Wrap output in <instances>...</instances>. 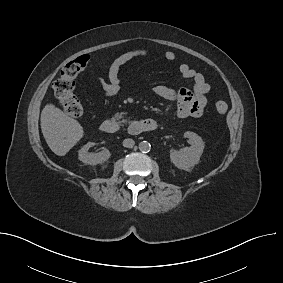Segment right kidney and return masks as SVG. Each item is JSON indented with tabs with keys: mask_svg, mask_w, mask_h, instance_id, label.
Returning <instances> with one entry per match:
<instances>
[{
	"mask_svg": "<svg viewBox=\"0 0 283 283\" xmlns=\"http://www.w3.org/2000/svg\"><path fill=\"white\" fill-rule=\"evenodd\" d=\"M93 145L94 143L88 142L79 150L78 158L80 161L85 164L97 165L107 161L110 158L111 154L107 149H104L103 151L98 153H88L89 148Z\"/></svg>",
	"mask_w": 283,
	"mask_h": 283,
	"instance_id": "1",
	"label": "right kidney"
}]
</instances>
